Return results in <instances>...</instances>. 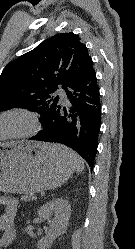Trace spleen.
Instances as JSON below:
<instances>
[{"label": "spleen", "instance_id": "1", "mask_svg": "<svg viewBox=\"0 0 135 249\" xmlns=\"http://www.w3.org/2000/svg\"><path fill=\"white\" fill-rule=\"evenodd\" d=\"M58 149L61 150V153L64 157H68L74 162L76 171L78 173H81L84 170V168H85L84 161L74 151H72L64 146H61V145L58 147Z\"/></svg>", "mask_w": 135, "mask_h": 249}]
</instances>
